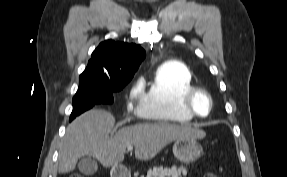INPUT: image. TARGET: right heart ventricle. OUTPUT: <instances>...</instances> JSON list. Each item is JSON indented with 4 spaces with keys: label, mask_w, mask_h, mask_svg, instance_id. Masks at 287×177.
I'll list each match as a JSON object with an SVG mask.
<instances>
[{
    "label": "right heart ventricle",
    "mask_w": 287,
    "mask_h": 177,
    "mask_svg": "<svg viewBox=\"0 0 287 177\" xmlns=\"http://www.w3.org/2000/svg\"><path fill=\"white\" fill-rule=\"evenodd\" d=\"M193 87L192 74L185 65H163L150 82L138 107V114L155 122H191L193 116L182 106V99Z\"/></svg>",
    "instance_id": "right-heart-ventricle-1"
}]
</instances>
